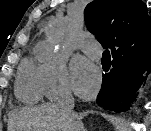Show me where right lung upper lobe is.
<instances>
[{
	"mask_svg": "<svg viewBox=\"0 0 151 131\" xmlns=\"http://www.w3.org/2000/svg\"><path fill=\"white\" fill-rule=\"evenodd\" d=\"M88 30L111 49L113 59L128 50L135 60L151 56V17L141 0H94L84 11Z\"/></svg>",
	"mask_w": 151,
	"mask_h": 131,
	"instance_id": "obj_1",
	"label": "right lung upper lobe"
}]
</instances>
